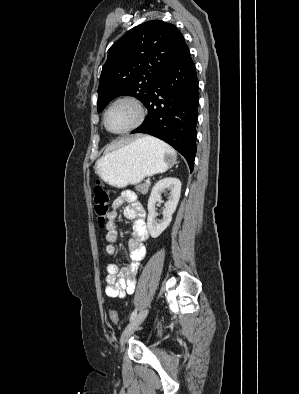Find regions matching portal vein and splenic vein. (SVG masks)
<instances>
[{
  "label": "portal vein and splenic vein",
  "instance_id": "portal-vein-and-splenic-vein-1",
  "mask_svg": "<svg viewBox=\"0 0 299 394\" xmlns=\"http://www.w3.org/2000/svg\"><path fill=\"white\" fill-rule=\"evenodd\" d=\"M146 183H147V184H150V183H151V182H150V179H147V180H146Z\"/></svg>",
  "mask_w": 299,
  "mask_h": 394
}]
</instances>
